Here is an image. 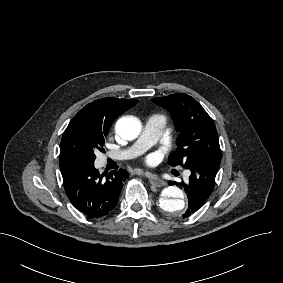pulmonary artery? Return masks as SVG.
<instances>
[{
  "instance_id": "1",
  "label": "pulmonary artery",
  "mask_w": 283,
  "mask_h": 283,
  "mask_svg": "<svg viewBox=\"0 0 283 283\" xmlns=\"http://www.w3.org/2000/svg\"><path fill=\"white\" fill-rule=\"evenodd\" d=\"M166 118L163 115L154 114L147 118L143 131L138 140L128 149L111 152L110 157L114 160L132 159L139 155L150 145L156 143L163 133ZM189 172L186 173V176Z\"/></svg>"
}]
</instances>
